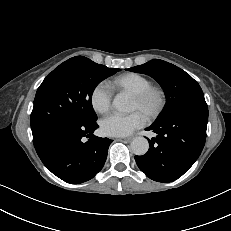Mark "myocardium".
Wrapping results in <instances>:
<instances>
[{"instance_id":"myocardium-1","label":"myocardium","mask_w":231,"mask_h":231,"mask_svg":"<svg viewBox=\"0 0 231 231\" xmlns=\"http://www.w3.org/2000/svg\"><path fill=\"white\" fill-rule=\"evenodd\" d=\"M132 97L142 106H145L151 99L155 100V104L144 111V115L148 119L158 118L165 110L168 101L166 90L160 85L153 84L132 94Z\"/></svg>"}]
</instances>
